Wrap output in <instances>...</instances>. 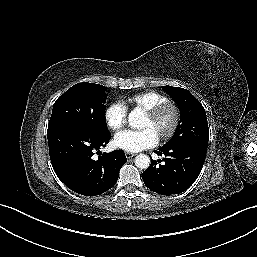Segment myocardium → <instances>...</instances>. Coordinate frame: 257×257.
<instances>
[{
  "mask_svg": "<svg viewBox=\"0 0 257 257\" xmlns=\"http://www.w3.org/2000/svg\"><path fill=\"white\" fill-rule=\"evenodd\" d=\"M167 112H170L172 114V122L170 127L165 132L159 135L160 140H167L176 133L181 118V113L178 105L170 100H167L145 111V115L153 122L158 121Z\"/></svg>",
  "mask_w": 257,
  "mask_h": 257,
  "instance_id": "obj_1",
  "label": "myocardium"
}]
</instances>
